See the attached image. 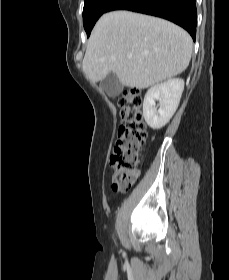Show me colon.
<instances>
[{"label": "colon", "instance_id": "obj_1", "mask_svg": "<svg viewBox=\"0 0 229 280\" xmlns=\"http://www.w3.org/2000/svg\"><path fill=\"white\" fill-rule=\"evenodd\" d=\"M118 104L122 123L110 158L111 166L118 171L113 182L115 190L129 189L134 184L139 153L147 139L140 91L135 88L126 89Z\"/></svg>", "mask_w": 229, "mask_h": 280}]
</instances>
